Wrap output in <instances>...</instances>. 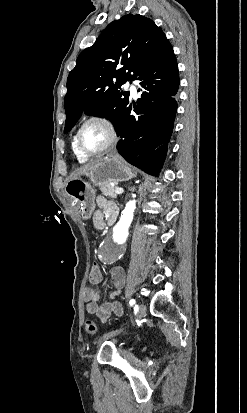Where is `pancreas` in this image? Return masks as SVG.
<instances>
[{
	"label": "pancreas",
	"instance_id": "1",
	"mask_svg": "<svg viewBox=\"0 0 247 413\" xmlns=\"http://www.w3.org/2000/svg\"><path fill=\"white\" fill-rule=\"evenodd\" d=\"M115 188L116 186H111V184H102V186H100V190H102L104 194L111 196V198H116L117 196V194H115Z\"/></svg>",
	"mask_w": 247,
	"mask_h": 413
}]
</instances>
